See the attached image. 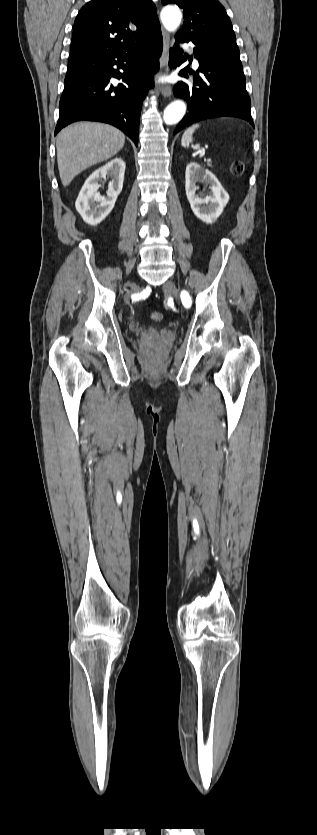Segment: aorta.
<instances>
[{
	"label": "aorta",
	"mask_w": 317,
	"mask_h": 835,
	"mask_svg": "<svg viewBox=\"0 0 317 835\" xmlns=\"http://www.w3.org/2000/svg\"><path fill=\"white\" fill-rule=\"evenodd\" d=\"M160 18L163 26L169 32L175 31L182 20V13L178 7L167 6L162 9ZM186 113V104L177 100L168 105L163 113V121L166 125L178 123Z\"/></svg>",
	"instance_id": "aorta-1"
}]
</instances>
